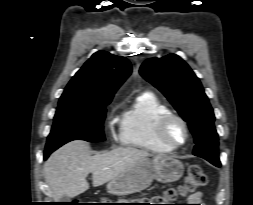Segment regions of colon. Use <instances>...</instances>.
<instances>
[{
	"label": "colon",
	"mask_w": 253,
	"mask_h": 205,
	"mask_svg": "<svg viewBox=\"0 0 253 205\" xmlns=\"http://www.w3.org/2000/svg\"><path fill=\"white\" fill-rule=\"evenodd\" d=\"M208 182V177L203 170V167L199 164L191 165L188 169L187 175L183 183L176 187L165 190L161 195L147 199V203L154 204H144V205H171V204H161L170 203L175 201L180 196H190L197 192L198 189L204 187ZM74 205H83L81 203H76Z\"/></svg>",
	"instance_id": "obj_1"
}]
</instances>
